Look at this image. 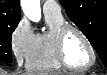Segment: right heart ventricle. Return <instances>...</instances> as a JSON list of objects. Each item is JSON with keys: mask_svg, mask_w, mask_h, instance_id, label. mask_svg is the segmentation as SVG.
<instances>
[{"mask_svg": "<svg viewBox=\"0 0 107 75\" xmlns=\"http://www.w3.org/2000/svg\"><path fill=\"white\" fill-rule=\"evenodd\" d=\"M49 26L47 32L35 36V41L29 59L26 63L28 70L34 72H57L63 67L55 55L54 37L56 31L65 24L63 16L45 14Z\"/></svg>", "mask_w": 107, "mask_h": 75, "instance_id": "right-heart-ventricle-1", "label": "right heart ventricle"}]
</instances>
